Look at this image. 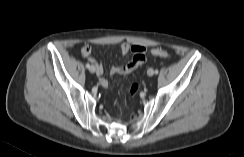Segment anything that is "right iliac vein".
Segmentation results:
<instances>
[{
  "mask_svg": "<svg viewBox=\"0 0 244 157\" xmlns=\"http://www.w3.org/2000/svg\"><path fill=\"white\" fill-rule=\"evenodd\" d=\"M89 71H90L91 73H95V68H94V66H90Z\"/></svg>",
  "mask_w": 244,
  "mask_h": 157,
  "instance_id": "1",
  "label": "right iliac vein"
}]
</instances>
